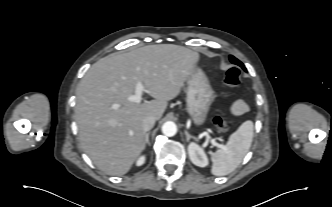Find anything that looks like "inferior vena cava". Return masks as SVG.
Returning <instances> with one entry per match:
<instances>
[{"label": "inferior vena cava", "instance_id": "1", "mask_svg": "<svg viewBox=\"0 0 332 207\" xmlns=\"http://www.w3.org/2000/svg\"><path fill=\"white\" fill-rule=\"evenodd\" d=\"M155 117L154 116H147L142 121V127L144 131H149L154 127L155 124Z\"/></svg>", "mask_w": 332, "mask_h": 207}]
</instances>
